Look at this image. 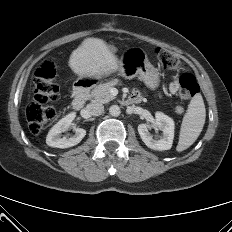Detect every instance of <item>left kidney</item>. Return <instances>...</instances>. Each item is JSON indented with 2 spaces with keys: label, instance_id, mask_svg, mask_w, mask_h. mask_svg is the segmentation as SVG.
I'll return each instance as SVG.
<instances>
[{
  "label": "left kidney",
  "instance_id": "1",
  "mask_svg": "<svg viewBox=\"0 0 232 232\" xmlns=\"http://www.w3.org/2000/svg\"><path fill=\"white\" fill-rule=\"evenodd\" d=\"M154 127L163 132L160 139L153 138L149 128ZM175 124L172 118L162 112H156L154 125L140 124L138 132L145 145L153 150H169L174 139Z\"/></svg>",
  "mask_w": 232,
  "mask_h": 232
}]
</instances>
